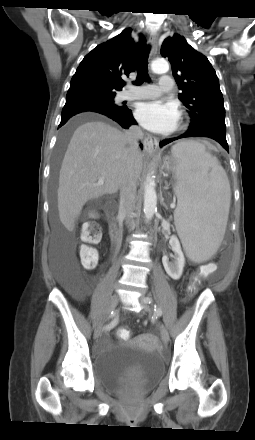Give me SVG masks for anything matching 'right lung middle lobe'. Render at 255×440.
Wrapping results in <instances>:
<instances>
[{"mask_svg":"<svg viewBox=\"0 0 255 440\" xmlns=\"http://www.w3.org/2000/svg\"><path fill=\"white\" fill-rule=\"evenodd\" d=\"M114 97H115V93L113 94H92L90 95L89 98H95V99H99V100H104L107 101L109 103L114 104ZM66 136H67V132L63 133L62 139H61V143L60 146L62 147L66 141Z\"/></svg>","mask_w":255,"mask_h":440,"instance_id":"dd1d6c3e","label":"right lung middle lobe"}]
</instances>
